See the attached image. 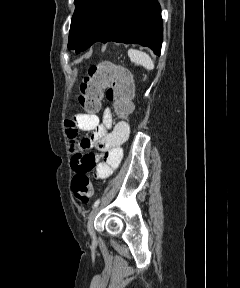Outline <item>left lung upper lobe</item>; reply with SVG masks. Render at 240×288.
I'll return each instance as SVG.
<instances>
[{
  "instance_id": "left-lung-upper-lobe-1",
  "label": "left lung upper lobe",
  "mask_w": 240,
  "mask_h": 288,
  "mask_svg": "<svg viewBox=\"0 0 240 288\" xmlns=\"http://www.w3.org/2000/svg\"><path fill=\"white\" fill-rule=\"evenodd\" d=\"M109 0H75L68 48L81 49L101 19Z\"/></svg>"
}]
</instances>
